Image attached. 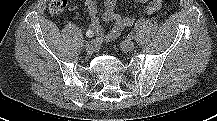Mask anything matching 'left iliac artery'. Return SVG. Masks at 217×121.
Wrapping results in <instances>:
<instances>
[{
	"instance_id": "left-iliac-artery-1",
	"label": "left iliac artery",
	"mask_w": 217,
	"mask_h": 121,
	"mask_svg": "<svg viewBox=\"0 0 217 121\" xmlns=\"http://www.w3.org/2000/svg\"><path fill=\"white\" fill-rule=\"evenodd\" d=\"M149 24H150V20L141 18L135 23L134 30H139Z\"/></svg>"
}]
</instances>
